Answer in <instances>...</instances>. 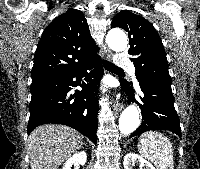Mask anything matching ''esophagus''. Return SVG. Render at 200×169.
<instances>
[{"mask_svg": "<svg viewBox=\"0 0 200 169\" xmlns=\"http://www.w3.org/2000/svg\"><path fill=\"white\" fill-rule=\"evenodd\" d=\"M111 57H112V52L108 50V52L106 53V58H107L108 60H110ZM123 107H124L123 104H121V103L118 102V101H116V102L114 103V106H113L115 112H120V111L123 109Z\"/></svg>", "mask_w": 200, "mask_h": 169, "instance_id": "1", "label": "esophagus"}]
</instances>
